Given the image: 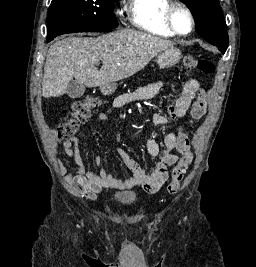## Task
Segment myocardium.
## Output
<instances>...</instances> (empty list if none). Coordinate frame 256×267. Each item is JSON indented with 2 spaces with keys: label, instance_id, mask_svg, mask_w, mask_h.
<instances>
[{
  "label": "myocardium",
  "instance_id": "myocardium-1",
  "mask_svg": "<svg viewBox=\"0 0 256 267\" xmlns=\"http://www.w3.org/2000/svg\"><path fill=\"white\" fill-rule=\"evenodd\" d=\"M175 7H178L181 10H183L189 17L190 29L185 33L180 32L174 23L172 13H173V9ZM165 20H166V23L168 24L169 28L173 31V33H175L178 36H183V37L189 36L193 32L194 27H195V19H194L192 12L183 3L178 2V1L174 2V4L170 8L167 9V11L165 13Z\"/></svg>",
  "mask_w": 256,
  "mask_h": 267
}]
</instances>
